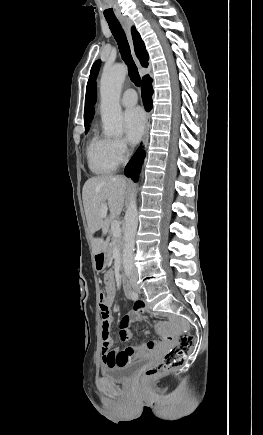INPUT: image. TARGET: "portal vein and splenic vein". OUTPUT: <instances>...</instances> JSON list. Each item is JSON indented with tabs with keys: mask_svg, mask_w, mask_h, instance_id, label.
Here are the masks:
<instances>
[{
	"mask_svg": "<svg viewBox=\"0 0 263 435\" xmlns=\"http://www.w3.org/2000/svg\"><path fill=\"white\" fill-rule=\"evenodd\" d=\"M107 209H108L107 205H102L101 207L102 217H106ZM111 230L114 236H119L121 234L120 224L117 220L112 221Z\"/></svg>",
	"mask_w": 263,
	"mask_h": 435,
	"instance_id": "18ae733b",
	"label": "portal vein and splenic vein"
}]
</instances>
